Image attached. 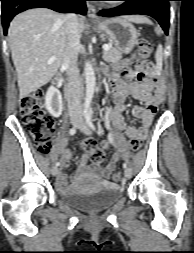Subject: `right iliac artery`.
<instances>
[{
    "mask_svg": "<svg viewBox=\"0 0 194 253\" xmlns=\"http://www.w3.org/2000/svg\"><path fill=\"white\" fill-rule=\"evenodd\" d=\"M76 130H77L76 127L71 128V129L69 130V134H70V135H74V134L76 133ZM55 165H56V167L59 166V165H60V162H56Z\"/></svg>",
    "mask_w": 194,
    "mask_h": 253,
    "instance_id": "obj_1",
    "label": "right iliac artery"
}]
</instances>
